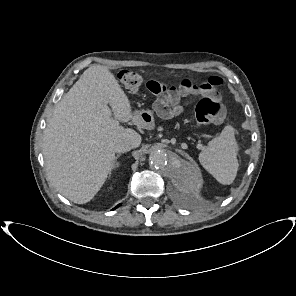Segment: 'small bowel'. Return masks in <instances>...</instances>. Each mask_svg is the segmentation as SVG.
<instances>
[{
	"label": "small bowel",
	"mask_w": 296,
	"mask_h": 296,
	"mask_svg": "<svg viewBox=\"0 0 296 296\" xmlns=\"http://www.w3.org/2000/svg\"><path fill=\"white\" fill-rule=\"evenodd\" d=\"M220 84L218 78H210L207 82L203 83L205 87H196L187 91L178 90L173 87L167 88L165 85L157 81H149L147 89L158 95L155 102L156 112L164 118H170L179 115L182 112L181 99L185 94H206L216 98L215 88ZM154 89H157L156 91Z\"/></svg>",
	"instance_id": "small-bowel-1"
}]
</instances>
